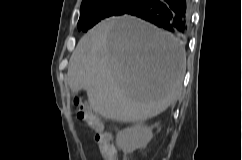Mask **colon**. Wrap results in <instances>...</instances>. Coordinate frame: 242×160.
Here are the masks:
<instances>
[{
	"label": "colon",
	"instance_id": "colon-1",
	"mask_svg": "<svg viewBox=\"0 0 242 160\" xmlns=\"http://www.w3.org/2000/svg\"><path fill=\"white\" fill-rule=\"evenodd\" d=\"M77 117L94 133V141L100 150L103 160H115V150L111 143V135L106 131L104 123L91 111L89 106L79 98L75 99Z\"/></svg>",
	"mask_w": 242,
	"mask_h": 160
}]
</instances>
